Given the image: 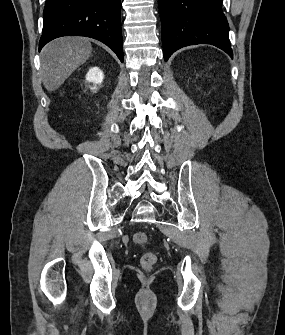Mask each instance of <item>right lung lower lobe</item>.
Listing matches in <instances>:
<instances>
[{
	"label": "right lung lower lobe",
	"mask_w": 285,
	"mask_h": 335,
	"mask_svg": "<svg viewBox=\"0 0 285 335\" xmlns=\"http://www.w3.org/2000/svg\"><path fill=\"white\" fill-rule=\"evenodd\" d=\"M121 0H46L39 51L62 36H86L110 47L121 62Z\"/></svg>",
	"instance_id": "right-lung-lower-lobe-1"
}]
</instances>
